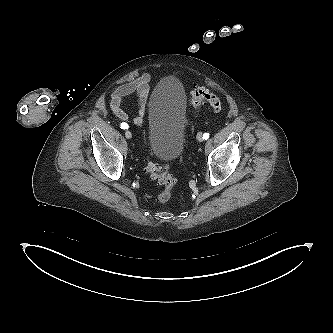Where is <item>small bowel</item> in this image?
<instances>
[{
	"label": "small bowel",
	"mask_w": 333,
	"mask_h": 333,
	"mask_svg": "<svg viewBox=\"0 0 333 333\" xmlns=\"http://www.w3.org/2000/svg\"><path fill=\"white\" fill-rule=\"evenodd\" d=\"M151 76L148 73L143 74L139 78L119 86L110 97V108L117 118L122 121H128L130 116L122 108L123 101L130 96H135L138 103V111L132 117V121L136 125H142L146 114V104L149 94V84Z\"/></svg>",
	"instance_id": "small-bowel-1"
}]
</instances>
